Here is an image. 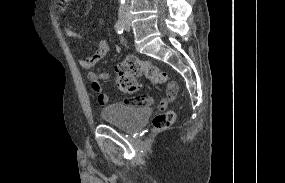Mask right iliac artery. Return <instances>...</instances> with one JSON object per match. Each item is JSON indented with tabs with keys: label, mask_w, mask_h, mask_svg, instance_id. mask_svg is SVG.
<instances>
[{
	"label": "right iliac artery",
	"mask_w": 285,
	"mask_h": 183,
	"mask_svg": "<svg viewBox=\"0 0 285 183\" xmlns=\"http://www.w3.org/2000/svg\"><path fill=\"white\" fill-rule=\"evenodd\" d=\"M115 30L118 34H122L124 31V24L121 20H118L115 24Z\"/></svg>",
	"instance_id": "right-iliac-artery-1"
}]
</instances>
